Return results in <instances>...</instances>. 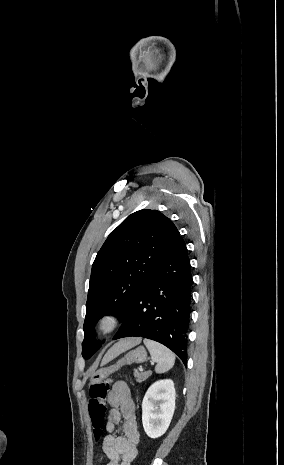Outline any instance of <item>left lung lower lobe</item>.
<instances>
[{
  "label": "left lung lower lobe",
  "instance_id": "1",
  "mask_svg": "<svg viewBox=\"0 0 284 465\" xmlns=\"http://www.w3.org/2000/svg\"><path fill=\"white\" fill-rule=\"evenodd\" d=\"M192 284L186 244L179 236L132 300L113 339L135 336L157 341L186 364Z\"/></svg>",
  "mask_w": 284,
  "mask_h": 465
}]
</instances>
